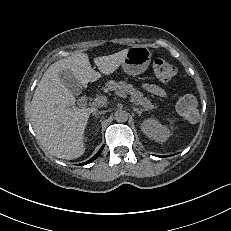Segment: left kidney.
Instances as JSON below:
<instances>
[{
	"mask_svg": "<svg viewBox=\"0 0 231 231\" xmlns=\"http://www.w3.org/2000/svg\"><path fill=\"white\" fill-rule=\"evenodd\" d=\"M141 130L148 138L156 142H165L170 136L168 127L154 118L145 119L141 124Z\"/></svg>",
	"mask_w": 231,
	"mask_h": 231,
	"instance_id": "left-kidney-1",
	"label": "left kidney"
}]
</instances>
